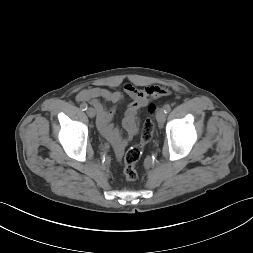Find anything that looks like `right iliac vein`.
<instances>
[{"label":"right iliac vein","instance_id":"obj_1","mask_svg":"<svg viewBox=\"0 0 253 253\" xmlns=\"http://www.w3.org/2000/svg\"><path fill=\"white\" fill-rule=\"evenodd\" d=\"M87 115L90 117V118H93V117H95V114H96V112H95V109L94 108H88L87 109Z\"/></svg>","mask_w":253,"mask_h":253}]
</instances>
